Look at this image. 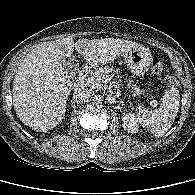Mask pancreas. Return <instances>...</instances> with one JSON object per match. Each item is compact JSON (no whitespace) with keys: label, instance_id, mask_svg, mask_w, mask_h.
<instances>
[{"label":"pancreas","instance_id":"cf45deb5","mask_svg":"<svg viewBox=\"0 0 195 195\" xmlns=\"http://www.w3.org/2000/svg\"><path fill=\"white\" fill-rule=\"evenodd\" d=\"M112 72L116 73L117 71H115L112 67H101L83 75L81 81L85 86L90 87V89L99 90L102 88L103 78L105 76H109Z\"/></svg>","mask_w":195,"mask_h":195}]
</instances>
